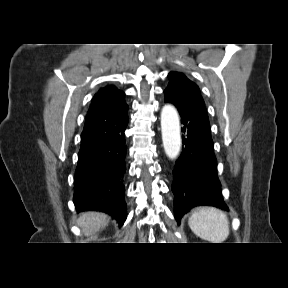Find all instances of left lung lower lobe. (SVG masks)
<instances>
[{"mask_svg": "<svg viewBox=\"0 0 288 288\" xmlns=\"http://www.w3.org/2000/svg\"><path fill=\"white\" fill-rule=\"evenodd\" d=\"M181 116L183 151L173 171L174 216L180 220L191 208L207 205L228 210L217 176V160L205 105L180 103L165 96Z\"/></svg>", "mask_w": 288, "mask_h": 288, "instance_id": "1", "label": "left lung lower lobe"}]
</instances>
